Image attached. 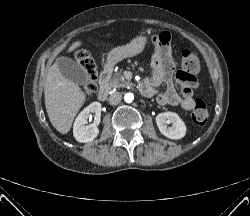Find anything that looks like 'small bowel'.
<instances>
[{"mask_svg": "<svg viewBox=\"0 0 250 216\" xmlns=\"http://www.w3.org/2000/svg\"><path fill=\"white\" fill-rule=\"evenodd\" d=\"M169 40L170 36L167 33H162L154 38V42L160 47L152 60L151 75L143 82L144 90L142 92L146 96H152L157 93V89L161 85H165L166 90L156 95L157 103L161 106H178L189 111L195 105L193 95L197 87V80L195 76H186L182 71L174 75L173 63L167 47ZM175 81L180 87V94L175 89Z\"/></svg>", "mask_w": 250, "mask_h": 216, "instance_id": "c3829d8e", "label": "small bowel"}]
</instances>
